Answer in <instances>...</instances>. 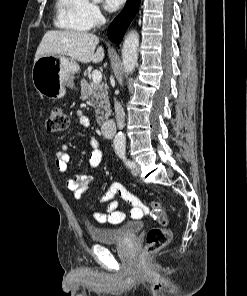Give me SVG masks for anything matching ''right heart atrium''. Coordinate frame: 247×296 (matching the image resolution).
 I'll use <instances>...</instances> for the list:
<instances>
[{
    "mask_svg": "<svg viewBox=\"0 0 247 296\" xmlns=\"http://www.w3.org/2000/svg\"><path fill=\"white\" fill-rule=\"evenodd\" d=\"M85 18L91 27H96L104 21V14L97 3L86 0Z\"/></svg>",
    "mask_w": 247,
    "mask_h": 296,
    "instance_id": "1",
    "label": "right heart atrium"
}]
</instances>
